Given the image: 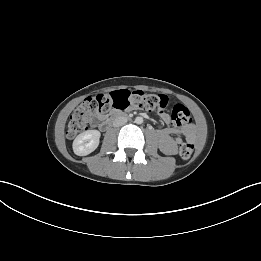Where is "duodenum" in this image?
Masks as SVG:
<instances>
[{
  "label": "duodenum",
  "mask_w": 261,
  "mask_h": 261,
  "mask_svg": "<svg viewBox=\"0 0 261 261\" xmlns=\"http://www.w3.org/2000/svg\"><path fill=\"white\" fill-rule=\"evenodd\" d=\"M123 117H125L124 114L119 113V112H115V113H113V114L111 115L110 118L101 121V123L99 124V128H100L102 131H106V130H108V129L111 127L112 123H113L115 120L121 119V118H123Z\"/></svg>",
  "instance_id": "obj_1"
}]
</instances>
